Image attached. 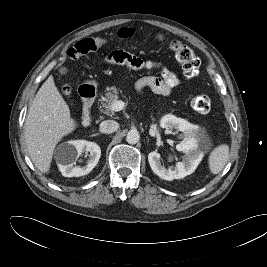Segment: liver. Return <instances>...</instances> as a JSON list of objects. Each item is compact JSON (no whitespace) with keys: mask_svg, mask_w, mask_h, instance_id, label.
I'll list each match as a JSON object with an SVG mask.
<instances>
[{"mask_svg":"<svg viewBox=\"0 0 267 267\" xmlns=\"http://www.w3.org/2000/svg\"><path fill=\"white\" fill-rule=\"evenodd\" d=\"M77 126L53 76H49L32 101L25 122L27 150L37 169L49 172L56 145Z\"/></svg>","mask_w":267,"mask_h":267,"instance_id":"liver-1","label":"liver"}]
</instances>
